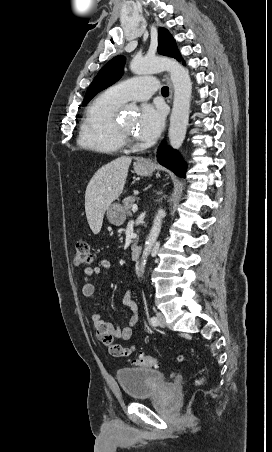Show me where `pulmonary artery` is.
Here are the masks:
<instances>
[{"label": "pulmonary artery", "mask_w": 272, "mask_h": 452, "mask_svg": "<svg viewBox=\"0 0 272 452\" xmlns=\"http://www.w3.org/2000/svg\"><path fill=\"white\" fill-rule=\"evenodd\" d=\"M157 89V80L153 77H133L117 83L108 92L120 103L130 100L144 101L149 99Z\"/></svg>", "instance_id": "pulmonary-artery-1"}]
</instances>
